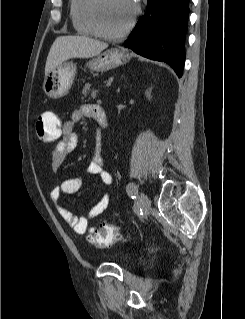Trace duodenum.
<instances>
[{
  "label": "duodenum",
  "mask_w": 245,
  "mask_h": 319,
  "mask_svg": "<svg viewBox=\"0 0 245 319\" xmlns=\"http://www.w3.org/2000/svg\"><path fill=\"white\" fill-rule=\"evenodd\" d=\"M98 123L100 124V126L102 128H105L107 126V117L106 114L103 112L102 114H100L97 118Z\"/></svg>",
  "instance_id": "410a0bca"
}]
</instances>
